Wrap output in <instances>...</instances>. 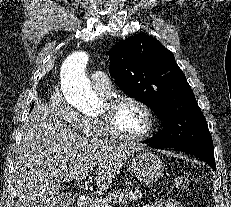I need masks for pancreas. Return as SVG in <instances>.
<instances>
[{
	"mask_svg": "<svg viewBox=\"0 0 231 207\" xmlns=\"http://www.w3.org/2000/svg\"><path fill=\"white\" fill-rule=\"evenodd\" d=\"M141 198L142 192L139 189L135 191L118 189L104 198L100 197L94 200L92 207H113L116 205L125 204L127 200L136 201Z\"/></svg>",
	"mask_w": 231,
	"mask_h": 207,
	"instance_id": "obj_1",
	"label": "pancreas"
}]
</instances>
